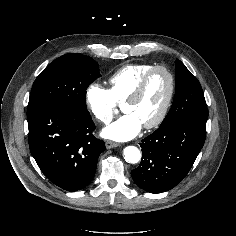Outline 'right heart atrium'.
I'll return each mask as SVG.
<instances>
[{"label": "right heart atrium", "mask_w": 236, "mask_h": 236, "mask_svg": "<svg viewBox=\"0 0 236 236\" xmlns=\"http://www.w3.org/2000/svg\"><path fill=\"white\" fill-rule=\"evenodd\" d=\"M85 100L87 108L95 120L103 124L111 121L117 108V102L109 89L99 83H92L86 90Z\"/></svg>", "instance_id": "obj_1"}]
</instances>
